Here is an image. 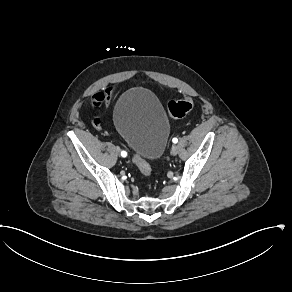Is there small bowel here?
<instances>
[{"label": "small bowel", "instance_id": "1", "mask_svg": "<svg viewBox=\"0 0 292 292\" xmlns=\"http://www.w3.org/2000/svg\"><path fill=\"white\" fill-rule=\"evenodd\" d=\"M117 88L119 87L118 85L116 86ZM114 87L113 86H110L107 90H106V93L108 94V95H115L116 94V91L115 90H112ZM108 100L109 101H107L106 102V106L107 107H110L111 106V102L110 101H112L113 100V97L112 96H109L108 97Z\"/></svg>", "mask_w": 292, "mask_h": 292}]
</instances>
